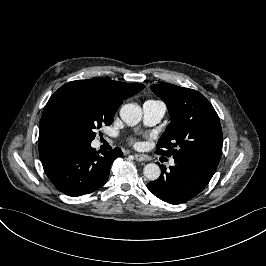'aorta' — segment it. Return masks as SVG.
<instances>
[{
	"instance_id": "762f6f07",
	"label": "aorta",
	"mask_w": 266,
	"mask_h": 266,
	"mask_svg": "<svg viewBox=\"0 0 266 266\" xmlns=\"http://www.w3.org/2000/svg\"><path fill=\"white\" fill-rule=\"evenodd\" d=\"M120 117L127 125H137L142 119V109L137 104H125L120 110ZM143 174L149 181H155L160 177L161 169L157 164L149 163L144 167Z\"/></svg>"
}]
</instances>
